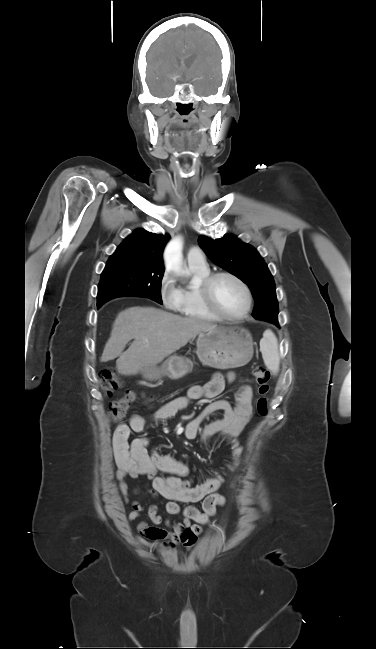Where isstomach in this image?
<instances>
[{"label": "stomach", "mask_w": 376, "mask_h": 649, "mask_svg": "<svg viewBox=\"0 0 376 649\" xmlns=\"http://www.w3.org/2000/svg\"><path fill=\"white\" fill-rule=\"evenodd\" d=\"M197 355L203 365L217 369L243 366L253 357L252 336L240 327H217L202 331L197 339ZM189 368L188 360L173 355L160 368L146 367L141 373L149 381L162 376L180 379L187 374Z\"/></svg>", "instance_id": "0dacf381"}]
</instances>
